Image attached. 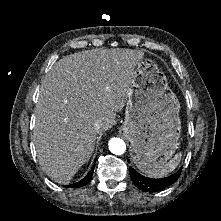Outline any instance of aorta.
<instances>
[{
  "label": "aorta",
  "mask_w": 221,
  "mask_h": 221,
  "mask_svg": "<svg viewBox=\"0 0 221 221\" xmlns=\"http://www.w3.org/2000/svg\"><path fill=\"white\" fill-rule=\"evenodd\" d=\"M109 150L116 155H121L126 150L125 142L120 138H112L109 141Z\"/></svg>",
  "instance_id": "obj_1"
}]
</instances>
